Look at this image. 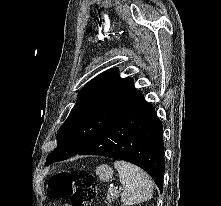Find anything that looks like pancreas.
<instances>
[{"label": "pancreas", "mask_w": 221, "mask_h": 206, "mask_svg": "<svg viewBox=\"0 0 221 206\" xmlns=\"http://www.w3.org/2000/svg\"><path fill=\"white\" fill-rule=\"evenodd\" d=\"M118 196H119L118 192H114L113 194L107 195L105 203H111L115 201V199L118 198Z\"/></svg>", "instance_id": "pancreas-1"}]
</instances>
